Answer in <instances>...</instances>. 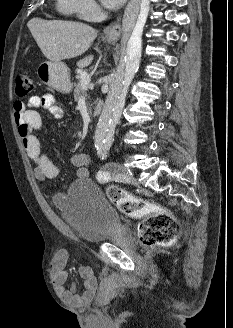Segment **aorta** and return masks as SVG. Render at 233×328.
I'll use <instances>...</instances> for the list:
<instances>
[{
    "mask_svg": "<svg viewBox=\"0 0 233 328\" xmlns=\"http://www.w3.org/2000/svg\"><path fill=\"white\" fill-rule=\"evenodd\" d=\"M150 0H130L122 19V58L110 78V88L97 123L94 142L97 148L111 147L116 124L125 105L127 90L139 69L142 33L149 12Z\"/></svg>",
    "mask_w": 233,
    "mask_h": 328,
    "instance_id": "aorta-1",
    "label": "aorta"
}]
</instances>
